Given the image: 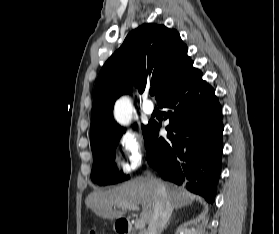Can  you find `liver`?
<instances>
[{
    "mask_svg": "<svg viewBox=\"0 0 279 234\" xmlns=\"http://www.w3.org/2000/svg\"><path fill=\"white\" fill-rule=\"evenodd\" d=\"M162 183L166 189L167 197L172 209L189 205L196 198L182 187L171 183ZM157 200V185L151 178H135L109 191H94L85 199L86 207L103 219H120L126 211L117 210L121 203H131L142 206L141 220L146 224L150 222L154 205Z\"/></svg>",
    "mask_w": 279,
    "mask_h": 234,
    "instance_id": "6515ba94",
    "label": "liver"
}]
</instances>
